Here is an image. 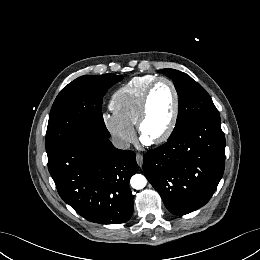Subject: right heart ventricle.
<instances>
[{"label": "right heart ventricle", "mask_w": 260, "mask_h": 260, "mask_svg": "<svg viewBox=\"0 0 260 260\" xmlns=\"http://www.w3.org/2000/svg\"><path fill=\"white\" fill-rule=\"evenodd\" d=\"M156 78L154 75L134 77L118 88L110 98L112 111L125 122L134 126L137 122L142 98Z\"/></svg>", "instance_id": "right-heart-ventricle-1"}]
</instances>
